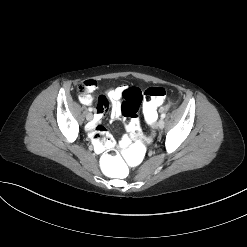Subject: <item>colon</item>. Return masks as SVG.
<instances>
[{
	"label": "colon",
	"instance_id": "5ec220e1",
	"mask_svg": "<svg viewBox=\"0 0 247 247\" xmlns=\"http://www.w3.org/2000/svg\"><path fill=\"white\" fill-rule=\"evenodd\" d=\"M90 91L88 82L78 87L80 96L87 95ZM166 91L162 87H149L144 92L136 87L125 89L122 95L121 112L125 118L128 130L133 137H138L141 126L138 118V109L141 102L148 119H153L157 107L163 102ZM147 145L139 140L123 146L119 152L113 149L105 151L99 158L100 171L110 178L121 181L126 179L131 171L130 167L143 162L148 156Z\"/></svg>",
	"mask_w": 247,
	"mask_h": 247
}]
</instances>
